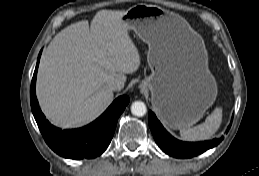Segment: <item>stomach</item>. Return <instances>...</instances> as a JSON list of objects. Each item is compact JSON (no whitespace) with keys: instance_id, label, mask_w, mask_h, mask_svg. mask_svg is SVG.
Returning <instances> with one entry per match:
<instances>
[{"instance_id":"stomach-1","label":"stomach","mask_w":259,"mask_h":176,"mask_svg":"<svg viewBox=\"0 0 259 176\" xmlns=\"http://www.w3.org/2000/svg\"><path fill=\"white\" fill-rule=\"evenodd\" d=\"M121 20L148 44L151 75L140 87L151 92L158 116L173 129L191 127L217 97L202 39L180 16L157 5H134Z\"/></svg>"}]
</instances>
